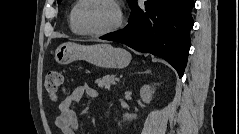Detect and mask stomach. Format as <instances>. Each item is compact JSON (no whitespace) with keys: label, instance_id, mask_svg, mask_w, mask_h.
<instances>
[{"label":"stomach","instance_id":"1","mask_svg":"<svg viewBox=\"0 0 239 134\" xmlns=\"http://www.w3.org/2000/svg\"><path fill=\"white\" fill-rule=\"evenodd\" d=\"M54 59L58 64L85 60L100 68L121 69L128 66L131 55L125 49L115 48L110 44L81 45L68 42L56 48Z\"/></svg>","mask_w":239,"mask_h":134}]
</instances>
